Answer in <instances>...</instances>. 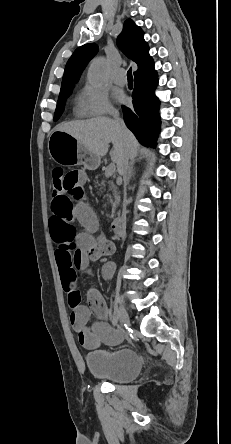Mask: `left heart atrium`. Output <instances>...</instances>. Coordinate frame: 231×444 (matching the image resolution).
Here are the masks:
<instances>
[{
    "label": "left heart atrium",
    "instance_id": "obj_1",
    "mask_svg": "<svg viewBox=\"0 0 231 444\" xmlns=\"http://www.w3.org/2000/svg\"><path fill=\"white\" fill-rule=\"evenodd\" d=\"M117 99H118L119 101H121V102H124V101H125V98H124L123 95H118V96H117Z\"/></svg>",
    "mask_w": 231,
    "mask_h": 444
}]
</instances>
